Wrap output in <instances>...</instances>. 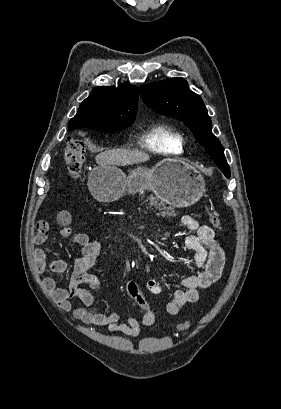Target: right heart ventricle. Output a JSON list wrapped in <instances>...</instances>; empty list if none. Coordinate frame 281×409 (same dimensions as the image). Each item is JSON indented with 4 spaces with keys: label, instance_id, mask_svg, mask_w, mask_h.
<instances>
[{
    "label": "right heart ventricle",
    "instance_id": "obj_1",
    "mask_svg": "<svg viewBox=\"0 0 281 409\" xmlns=\"http://www.w3.org/2000/svg\"><path fill=\"white\" fill-rule=\"evenodd\" d=\"M150 137L155 151L163 155H181L184 152V138L181 131L171 125H155Z\"/></svg>",
    "mask_w": 281,
    "mask_h": 409
}]
</instances>
